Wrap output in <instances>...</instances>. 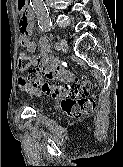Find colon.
I'll return each instance as SVG.
<instances>
[{
	"label": "colon",
	"instance_id": "1",
	"mask_svg": "<svg viewBox=\"0 0 123 167\" xmlns=\"http://www.w3.org/2000/svg\"><path fill=\"white\" fill-rule=\"evenodd\" d=\"M31 60L26 53H20L18 67L27 71L26 82L42 93L61 99L62 109L71 117L79 118L94 109L95 101L89 96L93 82L89 78L76 80L74 83L52 82L49 76L44 77L38 70L30 68Z\"/></svg>",
	"mask_w": 123,
	"mask_h": 167
}]
</instances>
